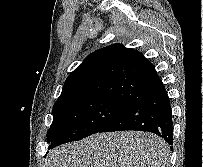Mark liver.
Wrapping results in <instances>:
<instances>
[{
	"label": "liver",
	"mask_w": 203,
	"mask_h": 167,
	"mask_svg": "<svg viewBox=\"0 0 203 167\" xmlns=\"http://www.w3.org/2000/svg\"><path fill=\"white\" fill-rule=\"evenodd\" d=\"M168 144L140 131L98 133L54 148L46 167H169Z\"/></svg>",
	"instance_id": "1"
}]
</instances>
